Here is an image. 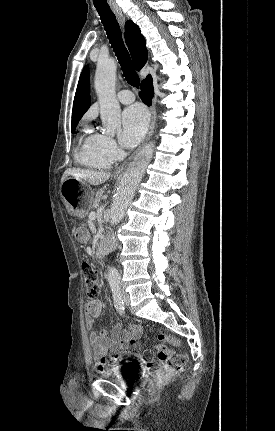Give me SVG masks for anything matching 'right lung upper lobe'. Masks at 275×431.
<instances>
[{
  "label": "right lung upper lobe",
  "mask_w": 275,
  "mask_h": 431,
  "mask_svg": "<svg viewBox=\"0 0 275 431\" xmlns=\"http://www.w3.org/2000/svg\"><path fill=\"white\" fill-rule=\"evenodd\" d=\"M125 40L135 68L137 71H140L147 62L148 52L145 39L139 27L132 21H127L125 23ZM90 102L89 70L85 67L81 73L73 102L71 126H77L79 120L90 107Z\"/></svg>",
  "instance_id": "obj_1"
}]
</instances>
